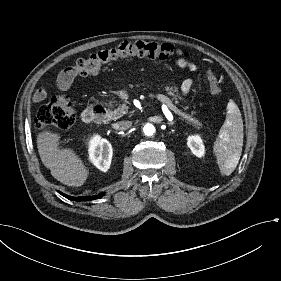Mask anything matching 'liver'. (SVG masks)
<instances>
[{
  "mask_svg": "<svg viewBox=\"0 0 281 281\" xmlns=\"http://www.w3.org/2000/svg\"><path fill=\"white\" fill-rule=\"evenodd\" d=\"M59 135L44 131L37 136V148L41 161L51 170V175L67 186H82L88 170L71 150H59Z\"/></svg>",
  "mask_w": 281,
  "mask_h": 281,
  "instance_id": "6515ba94",
  "label": "liver"
}]
</instances>
